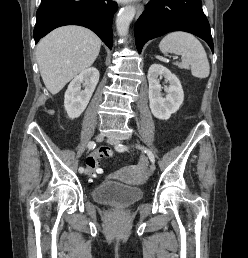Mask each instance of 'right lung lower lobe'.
Segmentation results:
<instances>
[{"label":"right lung lower lobe","mask_w":248,"mask_h":258,"mask_svg":"<svg viewBox=\"0 0 248 258\" xmlns=\"http://www.w3.org/2000/svg\"><path fill=\"white\" fill-rule=\"evenodd\" d=\"M118 5L110 0H41L34 28L35 43L53 29L80 25L94 31L111 49L112 19Z\"/></svg>","instance_id":"right-lung-lower-lobe-1"}]
</instances>
